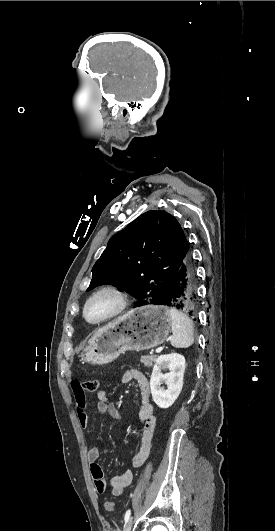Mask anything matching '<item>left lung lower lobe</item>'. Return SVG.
<instances>
[{"label": "left lung lower lobe", "instance_id": "1", "mask_svg": "<svg viewBox=\"0 0 275 531\" xmlns=\"http://www.w3.org/2000/svg\"><path fill=\"white\" fill-rule=\"evenodd\" d=\"M160 305L174 307L195 316L198 306L197 279L189 249L177 271L168 295Z\"/></svg>", "mask_w": 275, "mask_h": 531}]
</instances>
